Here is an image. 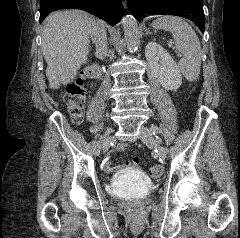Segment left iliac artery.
I'll use <instances>...</instances> for the list:
<instances>
[{
  "label": "left iliac artery",
  "mask_w": 240,
  "mask_h": 238,
  "mask_svg": "<svg viewBox=\"0 0 240 238\" xmlns=\"http://www.w3.org/2000/svg\"><path fill=\"white\" fill-rule=\"evenodd\" d=\"M151 130L153 131L154 134L156 132L158 134L162 133V130L158 129V127H156V126H154V127L152 126ZM159 140L160 141L163 140L164 144L162 142L160 143L161 144L160 149L165 151L167 149V147H169L170 144H169L168 139L166 138L164 133L162 134V136H161V138Z\"/></svg>",
  "instance_id": "obj_1"
}]
</instances>
